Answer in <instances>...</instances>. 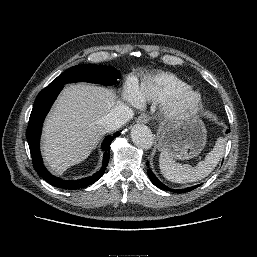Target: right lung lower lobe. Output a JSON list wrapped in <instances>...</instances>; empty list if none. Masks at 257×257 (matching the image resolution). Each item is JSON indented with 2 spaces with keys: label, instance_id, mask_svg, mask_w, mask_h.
Returning <instances> with one entry per match:
<instances>
[{
  "label": "right lung lower lobe",
  "instance_id": "98d812e1",
  "mask_svg": "<svg viewBox=\"0 0 257 257\" xmlns=\"http://www.w3.org/2000/svg\"><path fill=\"white\" fill-rule=\"evenodd\" d=\"M62 88L63 85L46 87L38 94L30 115L26 137L29 143L33 166L37 173L55 187L73 190L91 185L103 176L110 159V144L115 137L120 135V132H116L113 136H107L105 138L102 144V150L104 151L102 167L92 176L79 180H62L49 173L43 165L39 149V140L44 118Z\"/></svg>",
  "mask_w": 257,
  "mask_h": 257
}]
</instances>
